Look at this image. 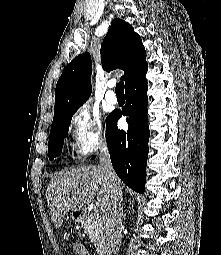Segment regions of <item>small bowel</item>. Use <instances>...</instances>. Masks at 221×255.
I'll return each mask as SVG.
<instances>
[{"instance_id": "obj_1", "label": "small bowel", "mask_w": 221, "mask_h": 255, "mask_svg": "<svg viewBox=\"0 0 221 255\" xmlns=\"http://www.w3.org/2000/svg\"><path fill=\"white\" fill-rule=\"evenodd\" d=\"M72 249L75 255H90L88 249L80 242H74L72 244Z\"/></svg>"}]
</instances>
